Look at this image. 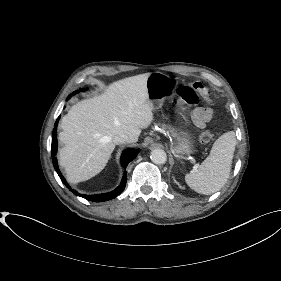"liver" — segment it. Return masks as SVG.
I'll list each match as a JSON object with an SVG mask.
<instances>
[{
  "label": "liver",
  "instance_id": "obj_1",
  "mask_svg": "<svg viewBox=\"0 0 281 281\" xmlns=\"http://www.w3.org/2000/svg\"><path fill=\"white\" fill-rule=\"evenodd\" d=\"M150 73L110 84L101 95L73 105L62 118L60 165L70 183L86 181L106 166L116 146L113 138L124 133L136 142L152 120L147 80Z\"/></svg>",
  "mask_w": 281,
  "mask_h": 281
}]
</instances>
